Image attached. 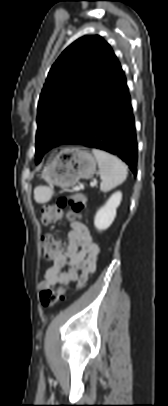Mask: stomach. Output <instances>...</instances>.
<instances>
[{"instance_id": "obj_1", "label": "stomach", "mask_w": 168, "mask_h": 406, "mask_svg": "<svg viewBox=\"0 0 168 406\" xmlns=\"http://www.w3.org/2000/svg\"><path fill=\"white\" fill-rule=\"evenodd\" d=\"M94 156L80 148H64L45 166L42 178L51 186L71 187L81 178L90 179L96 173Z\"/></svg>"}]
</instances>
